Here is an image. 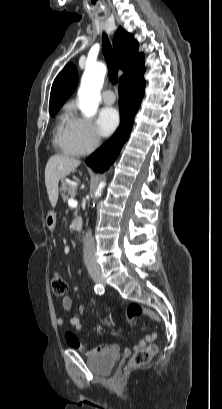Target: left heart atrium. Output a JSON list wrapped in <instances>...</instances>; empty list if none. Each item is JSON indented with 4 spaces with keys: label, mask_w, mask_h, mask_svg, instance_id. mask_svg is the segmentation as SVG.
Returning <instances> with one entry per match:
<instances>
[{
    "label": "left heart atrium",
    "mask_w": 222,
    "mask_h": 409,
    "mask_svg": "<svg viewBox=\"0 0 222 409\" xmlns=\"http://www.w3.org/2000/svg\"><path fill=\"white\" fill-rule=\"evenodd\" d=\"M119 124L118 111L113 107H105L97 116L98 131L102 136H109Z\"/></svg>",
    "instance_id": "1"
}]
</instances>
